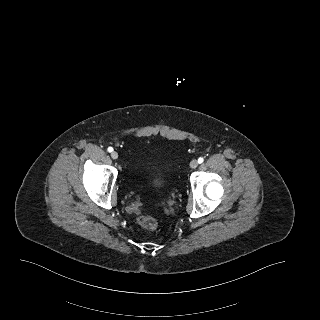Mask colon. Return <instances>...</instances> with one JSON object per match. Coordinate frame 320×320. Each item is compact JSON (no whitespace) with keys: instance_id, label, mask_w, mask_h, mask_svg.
Listing matches in <instances>:
<instances>
[{"instance_id":"obj_1","label":"colon","mask_w":320,"mask_h":320,"mask_svg":"<svg viewBox=\"0 0 320 320\" xmlns=\"http://www.w3.org/2000/svg\"><path fill=\"white\" fill-rule=\"evenodd\" d=\"M138 223L141 227L149 230H154L158 226V222L154 217L151 216H140Z\"/></svg>"}]
</instances>
